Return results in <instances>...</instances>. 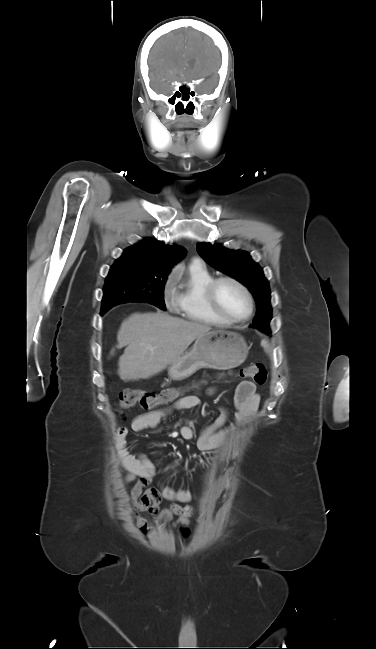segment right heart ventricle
I'll return each instance as SVG.
<instances>
[{"label": "right heart ventricle", "mask_w": 376, "mask_h": 649, "mask_svg": "<svg viewBox=\"0 0 376 649\" xmlns=\"http://www.w3.org/2000/svg\"><path fill=\"white\" fill-rule=\"evenodd\" d=\"M214 279L213 274L201 262H193L188 269L174 279V309L185 318L214 326H227L210 305L206 289Z\"/></svg>", "instance_id": "right-heart-ventricle-1"}]
</instances>
